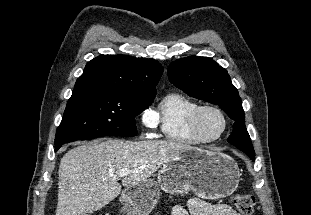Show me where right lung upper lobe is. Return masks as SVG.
I'll return each instance as SVG.
<instances>
[{
	"label": "right lung upper lobe",
	"instance_id": "obj_1",
	"mask_svg": "<svg viewBox=\"0 0 311 215\" xmlns=\"http://www.w3.org/2000/svg\"><path fill=\"white\" fill-rule=\"evenodd\" d=\"M163 73L154 59L125 55H101L87 63L75 89L97 88L140 96H155Z\"/></svg>",
	"mask_w": 311,
	"mask_h": 215
}]
</instances>
